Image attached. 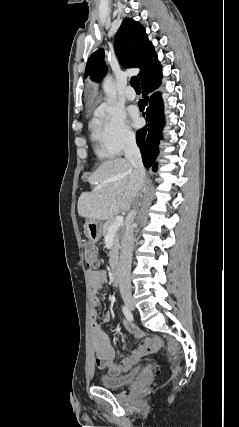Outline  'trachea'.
Listing matches in <instances>:
<instances>
[{"label": "trachea", "mask_w": 239, "mask_h": 427, "mask_svg": "<svg viewBox=\"0 0 239 427\" xmlns=\"http://www.w3.org/2000/svg\"><path fill=\"white\" fill-rule=\"evenodd\" d=\"M130 84L135 89L136 92L141 91L140 82H139L138 77H136V76L132 77L130 80Z\"/></svg>", "instance_id": "3493384b"}]
</instances>
